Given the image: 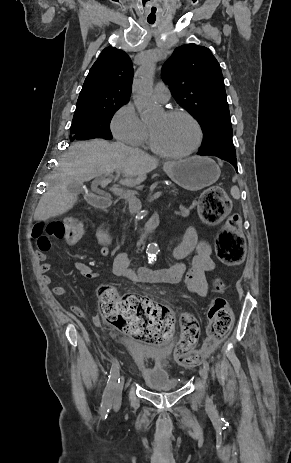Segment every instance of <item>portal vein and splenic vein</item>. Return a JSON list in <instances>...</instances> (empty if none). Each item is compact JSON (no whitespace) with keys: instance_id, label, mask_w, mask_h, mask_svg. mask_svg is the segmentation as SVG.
I'll return each mask as SVG.
<instances>
[{"instance_id":"portal-vein-and-splenic-vein-1","label":"portal vein and splenic vein","mask_w":291,"mask_h":463,"mask_svg":"<svg viewBox=\"0 0 291 463\" xmlns=\"http://www.w3.org/2000/svg\"><path fill=\"white\" fill-rule=\"evenodd\" d=\"M108 179H104V180H101L100 181V184L102 187H105L108 185ZM111 191L118 195V196H121L123 197L126 201H128L129 203V206L134 210V211H137L139 209H141L142 207V203L140 201V199H138L135 195L131 194V193H127L125 192L123 189L121 188H118V187H112L111 188ZM162 195V191H157L153 194L152 198H157L159 196Z\"/></svg>"}]
</instances>
